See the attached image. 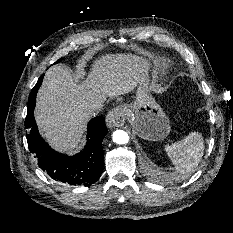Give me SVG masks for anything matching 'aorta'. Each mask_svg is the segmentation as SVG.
<instances>
[{"instance_id":"obj_1","label":"aorta","mask_w":233,"mask_h":233,"mask_svg":"<svg viewBox=\"0 0 233 233\" xmlns=\"http://www.w3.org/2000/svg\"><path fill=\"white\" fill-rule=\"evenodd\" d=\"M112 139L119 145L127 144L129 142V135L123 130H116L112 134Z\"/></svg>"}]
</instances>
